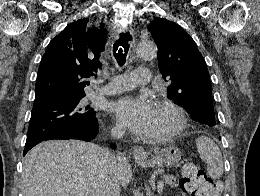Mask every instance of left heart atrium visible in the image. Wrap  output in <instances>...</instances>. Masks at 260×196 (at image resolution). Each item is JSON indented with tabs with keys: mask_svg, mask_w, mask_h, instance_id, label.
Instances as JSON below:
<instances>
[{
	"mask_svg": "<svg viewBox=\"0 0 260 196\" xmlns=\"http://www.w3.org/2000/svg\"><path fill=\"white\" fill-rule=\"evenodd\" d=\"M120 125L135 134H146L151 126L153 103L143 97L125 96L117 100L112 108ZM116 190H95V192H115Z\"/></svg>",
	"mask_w": 260,
	"mask_h": 196,
	"instance_id": "39dd6f15",
	"label": "left heart atrium"
}]
</instances>
